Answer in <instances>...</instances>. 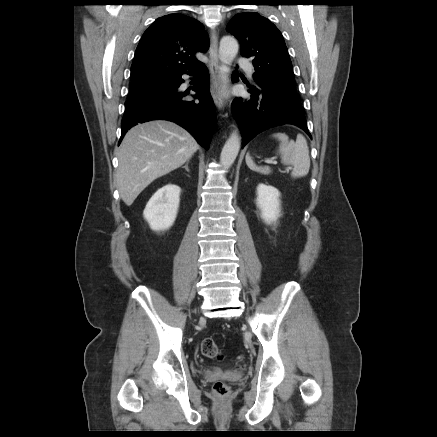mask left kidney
<instances>
[{
    "mask_svg": "<svg viewBox=\"0 0 437 437\" xmlns=\"http://www.w3.org/2000/svg\"><path fill=\"white\" fill-rule=\"evenodd\" d=\"M279 197L280 192L275 187L263 183L257 186L256 205L262 220L268 225L274 224L281 215Z\"/></svg>",
    "mask_w": 437,
    "mask_h": 437,
    "instance_id": "1",
    "label": "left kidney"
}]
</instances>
